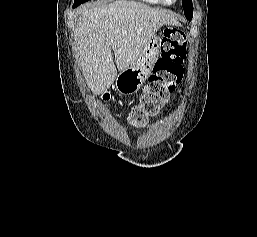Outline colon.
I'll return each instance as SVG.
<instances>
[{
	"instance_id": "1",
	"label": "colon",
	"mask_w": 257,
	"mask_h": 237,
	"mask_svg": "<svg viewBox=\"0 0 257 237\" xmlns=\"http://www.w3.org/2000/svg\"><path fill=\"white\" fill-rule=\"evenodd\" d=\"M186 56V37L176 28H166L160 41V55L140 102L128 114V122L135 127H143L149 117L161 109L168 94L174 90L182 76V63ZM109 95L105 96L108 99Z\"/></svg>"
}]
</instances>
